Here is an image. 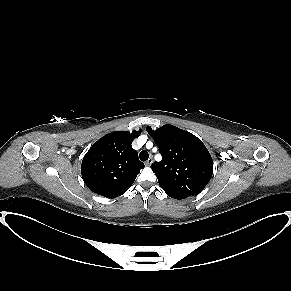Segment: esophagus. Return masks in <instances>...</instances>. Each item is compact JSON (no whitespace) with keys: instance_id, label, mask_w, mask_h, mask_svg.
Here are the masks:
<instances>
[{"instance_id":"34e87169","label":"esophagus","mask_w":291,"mask_h":291,"mask_svg":"<svg viewBox=\"0 0 291 291\" xmlns=\"http://www.w3.org/2000/svg\"><path fill=\"white\" fill-rule=\"evenodd\" d=\"M152 163H153V158L150 157V158L145 162V165H146V166H150Z\"/></svg>"}]
</instances>
